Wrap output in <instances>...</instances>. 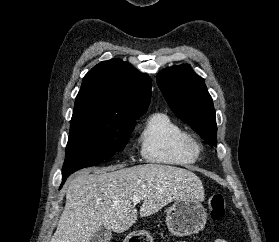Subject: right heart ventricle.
<instances>
[{
	"mask_svg": "<svg viewBox=\"0 0 279 242\" xmlns=\"http://www.w3.org/2000/svg\"><path fill=\"white\" fill-rule=\"evenodd\" d=\"M184 129L168 114L156 112L144 123L139 135L140 152L149 163L187 166L197 160V155L185 145Z\"/></svg>",
	"mask_w": 279,
	"mask_h": 242,
	"instance_id": "e07e8e85",
	"label": "right heart ventricle"
}]
</instances>
